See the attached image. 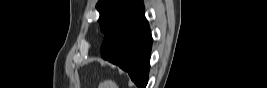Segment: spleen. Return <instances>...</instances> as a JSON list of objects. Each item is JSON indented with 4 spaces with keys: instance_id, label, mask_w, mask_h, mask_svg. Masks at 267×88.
Masks as SVG:
<instances>
[{
    "instance_id": "3e777b00",
    "label": "spleen",
    "mask_w": 267,
    "mask_h": 88,
    "mask_svg": "<svg viewBox=\"0 0 267 88\" xmlns=\"http://www.w3.org/2000/svg\"><path fill=\"white\" fill-rule=\"evenodd\" d=\"M111 88H118V87H116L114 84H112V85H111Z\"/></svg>"
}]
</instances>
